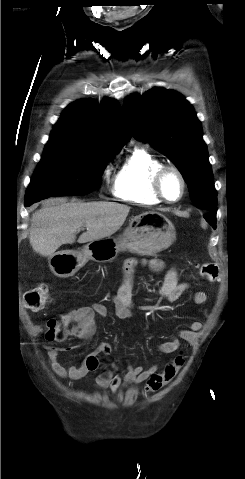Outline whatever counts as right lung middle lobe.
Wrapping results in <instances>:
<instances>
[{
  "mask_svg": "<svg viewBox=\"0 0 245 479\" xmlns=\"http://www.w3.org/2000/svg\"><path fill=\"white\" fill-rule=\"evenodd\" d=\"M117 149L92 148L77 140L51 137L28 186L26 201L92 192Z\"/></svg>",
  "mask_w": 245,
  "mask_h": 479,
  "instance_id": "right-lung-middle-lobe-1",
  "label": "right lung middle lobe"
}]
</instances>
